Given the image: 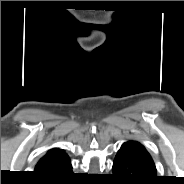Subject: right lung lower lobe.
<instances>
[{
  "instance_id": "1",
  "label": "right lung lower lobe",
  "mask_w": 184,
  "mask_h": 184,
  "mask_svg": "<svg viewBox=\"0 0 184 184\" xmlns=\"http://www.w3.org/2000/svg\"><path fill=\"white\" fill-rule=\"evenodd\" d=\"M44 182L49 184H66L73 176L69 157L59 161L49 169L35 172Z\"/></svg>"
}]
</instances>
